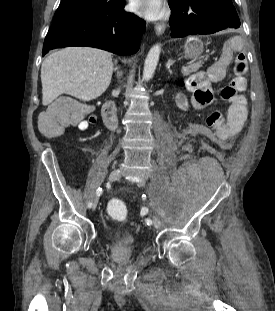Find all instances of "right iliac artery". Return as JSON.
Here are the masks:
<instances>
[{
	"mask_svg": "<svg viewBox=\"0 0 275 311\" xmlns=\"http://www.w3.org/2000/svg\"><path fill=\"white\" fill-rule=\"evenodd\" d=\"M102 192H103L102 188H98L97 191H96V196L99 197L102 194ZM91 207H92V202H89L88 203V208H91Z\"/></svg>",
	"mask_w": 275,
	"mask_h": 311,
	"instance_id": "82829eb1",
	"label": "right iliac artery"
}]
</instances>
